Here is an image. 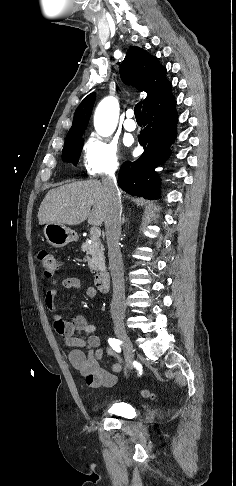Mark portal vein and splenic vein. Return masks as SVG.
Wrapping results in <instances>:
<instances>
[{
    "instance_id": "obj_1",
    "label": "portal vein and splenic vein",
    "mask_w": 236,
    "mask_h": 486,
    "mask_svg": "<svg viewBox=\"0 0 236 486\" xmlns=\"http://www.w3.org/2000/svg\"><path fill=\"white\" fill-rule=\"evenodd\" d=\"M90 234L93 238H99L101 235V230L99 227H92L90 230Z\"/></svg>"
}]
</instances>
